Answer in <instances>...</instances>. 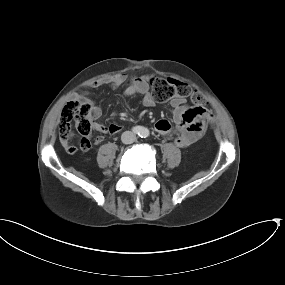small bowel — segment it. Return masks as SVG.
I'll return each instance as SVG.
<instances>
[{"instance_id": "obj_1", "label": "small bowel", "mask_w": 285, "mask_h": 285, "mask_svg": "<svg viewBox=\"0 0 285 285\" xmlns=\"http://www.w3.org/2000/svg\"><path fill=\"white\" fill-rule=\"evenodd\" d=\"M125 82L123 75H113L105 78H99L90 82L87 87L89 90L97 89L103 85H110L113 89H118ZM81 91L73 96V100H90V91ZM125 95L130 97L140 95L142 104L145 107H154L156 102L149 90V78L147 76L134 77L130 80ZM173 109V121L168 119H160L156 122L155 128L158 133L165 136L179 148H187L197 142L205 132V123L210 117V113L205 108L192 107L182 98H176L171 101ZM101 109L94 107L91 121L94 131L115 135L119 133L122 126L118 123L104 124L99 121L101 117ZM68 131V130H67ZM183 132V133H181ZM69 133V131H68ZM91 142L83 139L79 146L75 144H67L66 151L69 154H75L79 149L88 151L91 149Z\"/></svg>"}]
</instances>
